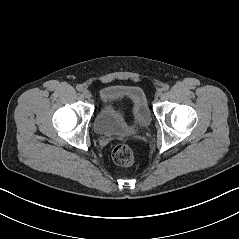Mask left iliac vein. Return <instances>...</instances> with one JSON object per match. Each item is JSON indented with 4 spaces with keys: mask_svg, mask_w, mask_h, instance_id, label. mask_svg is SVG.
<instances>
[{
    "mask_svg": "<svg viewBox=\"0 0 239 239\" xmlns=\"http://www.w3.org/2000/svg\"><path fill=\"white\" fill-rule=\"evenodd\" d=\"M162 93H163V90H162V89H159V90L156 92V95H157L158 97H160V96L162 95Z\"/></svg>",
    "mask_w": 239,
    "mask_h": 239,
    "instance_id": "4c4485c4",
    "label": "left iliac vein"
}]
</instances>
